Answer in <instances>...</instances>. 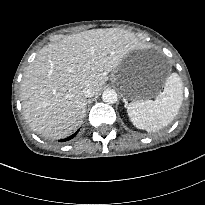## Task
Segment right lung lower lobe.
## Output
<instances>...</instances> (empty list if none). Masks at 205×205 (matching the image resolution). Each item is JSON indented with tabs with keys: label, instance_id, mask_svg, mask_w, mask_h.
Masks as SVG:
<instances>
[{
	"label": "right lung lower lobe",
	"instance_id": "98d812e1",
	"mask_svg": "<svg viewBox=\"0 0 205 205\" xmlns=\"http://www.w3.org/2000/svg\"><path fill=\"white\" fill-rule=\"evenodd\" d=\"M78 132H79V130H78L77 132H75L74 134H72L71 136H69L68 138L63 139V140H60V142H64V141H68V140L72 139L73 137L76 136V134H77Z\"/></svg>",
	"mask_w": 205,
	"mask_h": 205
}]
</instances>
